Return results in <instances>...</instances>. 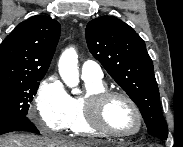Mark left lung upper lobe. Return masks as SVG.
I'll return each instance as SVG.
<instances>
[{"label":"left lung upper lobe","mask_w":183,"mask_h":147,"mask_svg":"<svg viewBox=\"0 0 183 147\" xmlns=\"http://www.w3.org/2000/svg\"><path fill=\"white\" fill-rule=\"evenodd\" d=\"M85 34L92 55L139 107L148 133L167 139L153 63L142 38L114 16L91 20Z\"/></svg>","instance_id":"1"}]
</instances>
